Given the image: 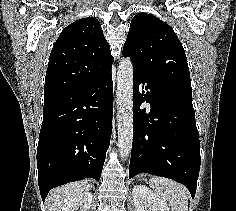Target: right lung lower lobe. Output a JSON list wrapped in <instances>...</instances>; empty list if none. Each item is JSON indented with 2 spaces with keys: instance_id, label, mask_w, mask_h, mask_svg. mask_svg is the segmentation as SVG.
Returning <instances> with one entry per match:
<instances>
[{
  "instance_id": "1",
  "label": "right lung lower lobe",
  "mask_w": 236,
  "mask_h": 211,
  "mask_svg": "<svg viewBox=\"0 0 236 211\" xmlns=\"http://www.w3.org/2000/svg\"><path fill=\"white\" fill-rule=\"evenodd\" d=\"M112 74L82 88L45 95L37 148L42 200L62 184L99 180L112 132Z\"/></svg>"
}]
</instances>
